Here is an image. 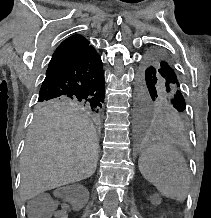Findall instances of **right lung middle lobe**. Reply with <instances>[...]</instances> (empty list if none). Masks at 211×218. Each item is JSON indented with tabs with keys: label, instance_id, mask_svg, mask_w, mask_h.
I'll list each match as a JSON object with an SVG mask.
<instances>
[{
	"label": "right lung middle lobe",
	"instance_id": "dd1d6c3e",
	"mask_svg": "<svg viewBox=\"0 0 211 218\" xmlns=\"http://www.w3.org/2000/svg\"><path fill=\"white\" fill-rule=\"evenodd\" d=\"M64 105H81L86 107L89 111L97 114L102 108L100 102L92 99H81L72 97H49V98H39L37 106L39 109H50L58 106Z\"/></svg>",
	"mask_w": 211,
	"mask_h": 218
}]
</instances>
